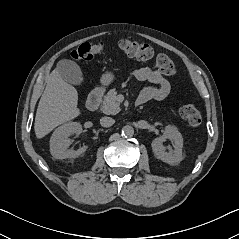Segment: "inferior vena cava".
<instances>
[{
    "label": "inferior vena cava",
    "instance_id": "obj_1",
    "mask_svg": "<svg viewBox=\"0 0 239 239\" xmlns=\"http://www.w3.org/2000/svg\"><path fill=\"white\" fill-rule=\"evenodd\" d=\"M115 123V120L111 117H102L100 119V124L103 127H110Z\"/></svg>",
    "mask_w": 239,
    "mask_h": 239
}]
</instances>
